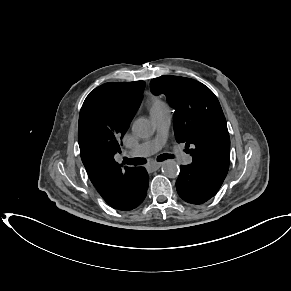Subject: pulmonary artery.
I'll return each mask as SVG.
<instances>
[{"label":"pulmonary artery","instance_id":"obj_1","mask_svg":"<svg viewBox=\"0 0 291 291\" xmlns=\"http://www.w3.org/2000/svg\"><path fill=\"white\" fill-rule=\"evenodd\" d=\"M151 119L153 120L156 127V136L153 139L144 141L133 148L127 154L129 157L150 156L159 151L164 145L171 121L170 111L166 109L162 112L152 114ZM176 157L184 164L191 162V157L184 152H177Z\"/></svg>","mask_w":291,"mask_h":291}]
</instances>
